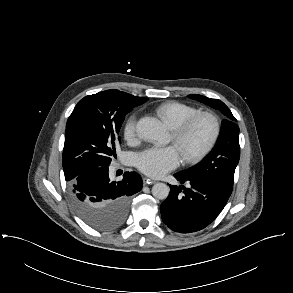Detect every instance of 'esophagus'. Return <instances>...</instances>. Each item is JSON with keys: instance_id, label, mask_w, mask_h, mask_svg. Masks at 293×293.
I'll return each instance as SVG.
<instances>
[{"instance_id": "1", "label": "esophagus", "mask_w": 293, "mask_h": 293, "mask_svg": "<svg viewBox=\"0 0 293 293\" xmlns=\"http://www.w3.org/2000/svg\"><path fill=\"white\" fill-rule=\"evenodd\" d=\"M156 181L154 180V179H152V178H145L144 179V184L145 185H147V184H153V183H155Z\"/></svg>"}]
</instances>
